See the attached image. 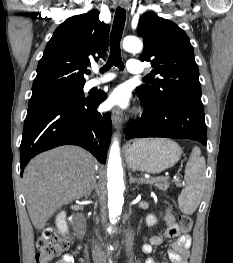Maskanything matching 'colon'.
Returning a JSON list of instances; mask_svg holds the SVG:
<instances>
[{
    "label": "colon",
    "instance_id": "1",
    "mask_svg": "<svg viewBox=\"0 0 233 263\" xmlns=\"http://www.w3.org/2000/svg\"><path fill=\"white\" fill-rule=\"evenodd\" d=\"M192 224L193 221L189 215L179 217V226L184 232H188ZM69 247L70 241L67 238L54 230H47L37 240L36 263H50L67 251Z\"/></svg>",
    "mask_w": 233,
    "mask_h": 263
}]
</instances>
